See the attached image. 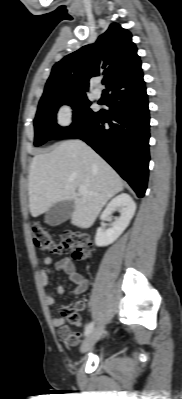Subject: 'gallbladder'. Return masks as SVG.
Here are the masks:
<instances>
[{"mask_svg":"<svg viewBox=\"0 0 182 399\" xmlns=\"http://www.w3.org/2000/svg\"><path fill=\"white\" fill-rule=\"evenodd\" d=\"M75 209L73 200L61 201L53 206L46 212L45 223L49 226H58L68 220Z\"/></svg>","mask_w":182,"mask_h":399,"instance_id":"obj_1","label":"gallbladder"}]
</instances>
